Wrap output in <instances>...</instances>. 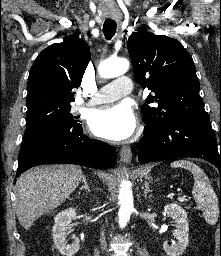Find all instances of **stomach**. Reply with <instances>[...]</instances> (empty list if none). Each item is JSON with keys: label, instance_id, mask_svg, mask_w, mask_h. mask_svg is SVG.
<instances>
[{"label": "stomach", "instance_id": "stomach-1", "mask_svg": "<svg viewBox=\"0 0 221 256\" xmlns=\"http://www.w3.org/2000/svg\"><path fill=\"white\" fill-rule=\"evenodd\" d=\"M140 173H141L142 175H144L145 179H147V180L150 179V176L147 174L146 169H144V168L141 169V170H140Z\"/></svg>", "mask_w": 221, "mask_h": 256}]
</instances>
